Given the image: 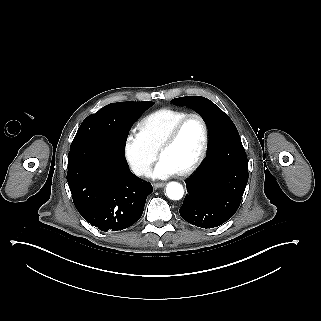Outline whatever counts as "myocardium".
<instances>
[{"label": "myocardium", "instance_id": "obj_1", "mask_svg": "<svg viewBox=\"0 0 321 321\" xmlns=\"http://www.w3.org/2000/svg\"><path fill=\"white\" fill-rule=\"evenodd\" d=\"M193 118H196L201 122L203 130V140L200 151L194 161L186 169L180 171L182 175L192 174L195 170H197V168L201 165L206 157L209 147V127L204 117L197 113H191L182 117L169 129V131L161 138L158 143V146L171 143L176 138L179 130L184 125V123Z\"/></svg>", "mask_w": 321, "mask_h": 321}]
</instances>
